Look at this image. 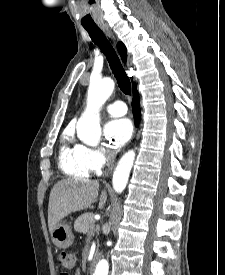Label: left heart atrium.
<instances>
[{
	"instance_id": "1",
	"label": "left heart atrium",
	"mask_w": 225,
	"mask_h": 275,
	"mask_svg": "<svg viewBox=\"0 0 225 275\" xmlns=\"http://www.w3.org/2000/svg\"><path fill=\"white\" fill-rule=\"evenodd\" d=\"M132 123L127 118L114 119L105 126V136L113 147L124 145L132 136Z\"/></svg>"
}]
</instances>
